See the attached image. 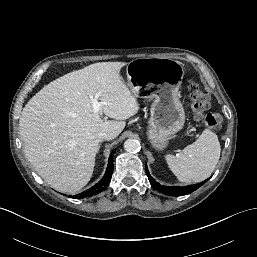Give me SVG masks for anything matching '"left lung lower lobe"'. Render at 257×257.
I'll return each mask as SVG.
<instances>
[{"label": "left lung lower lobe", "instance_id": "left-lung-lower-lobe-1", "mask_svg": "<svg viewBox=\"0 0 257 257\" xmlns=\"http://www.w3.org/2000/svg\"><path fill=\"white\" fill-rule=\"evenodd\" d=\"M145 171L146 174L148 176V179L150 181V184L152 185V187L154 189H156L157 191L164 193L166 195H171V196H183V195H187L192 193L193 191H195L196 189H198L200 186H202L207 180L198 183V184H194V185H190V186H186V187H167V186H163L160 185L159 183H157L149 174L147 165H145Z\"/></svg>", "mask_w": 257, "mask_h": 257}]
</instances>
